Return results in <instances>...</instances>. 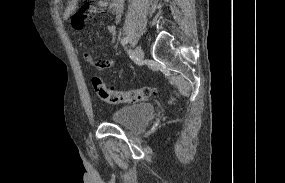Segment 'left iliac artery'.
Listing matches in <instances>:
<instances>
[{
    "label": "left iliac artery",
    "instance_id": "1",
    "mask_svg": "<svg viewBox=\"0 0 285 183\" xmlns=\"http://www.w3.org/2000/svg\"><path fill=\"white\" fill-rule=\"evenodd\" d=\"M128 41H129V38H128V37H125V38H123V39L121 40V44H122V45H125V44L128 43ZM130 55H133V53L130 52Z\"/></svg>",
    "mask_w": 285,
    "mask_h": 183
}]
</instances>
